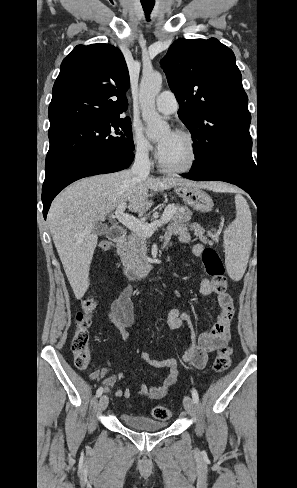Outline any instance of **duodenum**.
Instances as JSON below:
<instances>
[{"label": "duodenum", "instance_id": "1", "mask_svg": "<svg viewBox=\"0 0 297 488\" xmlns=\"http://www.w3.org/2000/svg\"><path fill=\"white\" fill-rule=\"evenodd\" d=\"M126 237V231L123 227L119 225L111 226L108 238L112 242L116 243L118 246H122ZM152 266L150 263H146L139 267H132L127 264L123 266V272L126 278L130 281H138L145 278L151 271Z\"/></svg>", "mask_w": 297, "mask_h": 488}]
</instances>
